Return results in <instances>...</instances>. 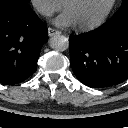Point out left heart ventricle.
I'll return each mask as SVG.
<instances>
[{"mask_svg": "<svg viewBox=\"0 0 128 128\" xmlns=\"http://www.w3.org/2000/svg\"><path fill=\"white\" fill-rule=\"evenodd\" d=\"M111 0H74L67 11L76 25H84L96 20L106 9Z\"/></svg>", "mask_w": 128, "mask_h": 128, "instance_id": "b2bd125f", "label": "left heart ventricle"}]
</instances>
